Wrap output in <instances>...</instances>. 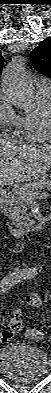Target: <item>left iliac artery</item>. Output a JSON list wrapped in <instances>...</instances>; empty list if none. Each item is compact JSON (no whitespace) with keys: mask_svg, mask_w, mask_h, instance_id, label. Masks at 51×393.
Returning <instances> with one entry per match:
<instances>
[{"mask_svg":"<svg viewBox=\"0 0 51 393\" xmlns=\"http://www.w3.org/2000/svg\"><path fill=\"white\" fill-rule=\"evenodd\" d=\"M33 276H34V274H33V273H30L26 279H30V278H32Z\"/></svg>","mask_w":51,"mask_h":393,"instance_id":"1","label":"left iliac artery"}]
</instances>
